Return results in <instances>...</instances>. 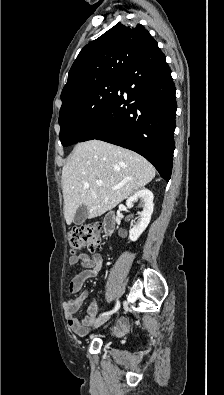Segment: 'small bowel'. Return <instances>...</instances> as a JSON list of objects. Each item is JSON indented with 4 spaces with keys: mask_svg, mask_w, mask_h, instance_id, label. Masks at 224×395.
I'll return each instance as SVG.
<instances>
[{
    "mask_svg": "<svg viewBox=\"0 0 224 395\" xmlns=\"http://www.w3.org/2000/svg\"><path fill=\"white\" fill-rule=\"evenodd\" d=\"M69 264H79L83 270L71 280L69 291L71 294H77L78 296L64 302V314L70 330L79 336H83L95 322V316L98 313L97 302L94 301L89 306L88 314L82 321H79L75 317V314L81 309L88 297V292L82 290V286L87 279L97 275L102 266V257L100 254H93L91 256L87 253H81L71 256L69 258ZM127 329L128 324L125 318L119 319L117 324L113 327L115 333H125Z\"/></svg>",
    "mask_w": 224,
    "mask_h": 395,
    "instance_id": "small-bowel-1",
    "label": "small bowel"
}]
</instances>
